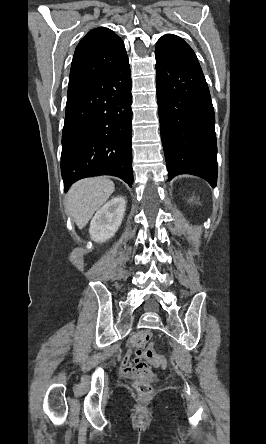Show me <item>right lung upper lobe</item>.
I'll use <instances>...</instances> for the list:
<instances>
[{
  "instance_id": "obj_1",
  "label": "right lung upper lobe",
  "mask_w": 266,
  "mask_h": 444,
  "mask_svg": "<svg viewBox=\"0 0 266 444\" xmlns=\"http://www.w3.org/2000/svg\"><path fill=\"white\" fill-rule=\"evenodd\" d=\"M126 57L124 43L113 31L105 27L89 31L73 56L67 99L89 88Z\"/></svg>"
}]
</instances>
